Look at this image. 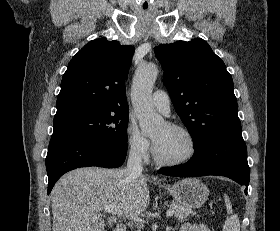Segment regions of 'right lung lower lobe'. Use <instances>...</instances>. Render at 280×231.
Wrapping results in <instances>:
<instances>
[{
  "label": "right lung lower lobe",
  "mask_w": 280,
  "mask_h": 231,
  "mask_svg": "<svg viewBox=\"0 0 280 231\" xmlns=\"http://www.w3.org/2000/svg\"><path fill=\"white\" fill-rule=\"evenodd\" d=\"M127 148L106 144L76 135L52 136L46 157L48 194L66 172L88 166L116 168L126 158Z\"/></svg>",
  "instance_id": "obj_1"
}]
</instances>
